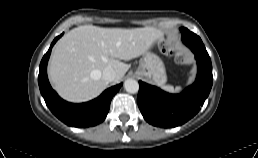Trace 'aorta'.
<instances>
[{
	"label": "aorta",
	"instance_id": "obj_1",
	"mask_svg": "<svg viewBox=\"0 0 258 158\" xmlns=\"http://www.w3.org/2000/svg\"><path fill=\"white\" fill-rule=\"evenodd\" d=\"M124 88L128 93H137L139 90V83L135 79H127L124 82Z\"/></svg>",
	"mask_w": 258,
	"mask_h": 158
}]
</instances>
